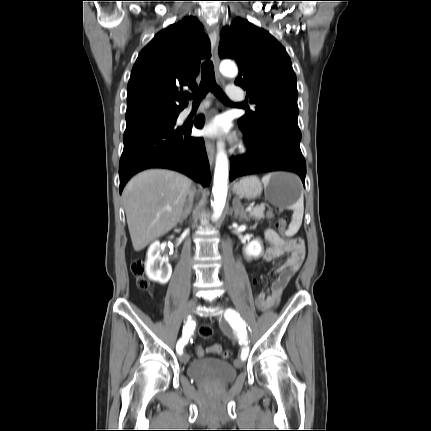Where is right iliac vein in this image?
I'll return each instance as SVG.
<instances>
[{
  "label": "right iliac vein",
  "instance_id": "right-iliac-vein-1",
  "mask_svg": "<svg viewBox=\"0 0 431 431\" xmlns=\"http://www.w3.org/2000/svg\"><path fill=\"white\" fill-rule=\"evenodd\" d=\"M196 298H192L188 301L185 310H184V319L186 320L192 313L193 309L196 306ZM180 361L182 363H187L189 361V355L187 353H183L180 356Z\"/></svg>",
  "mask_w": 431,
  "mask_h": 431
}]
</instances>
